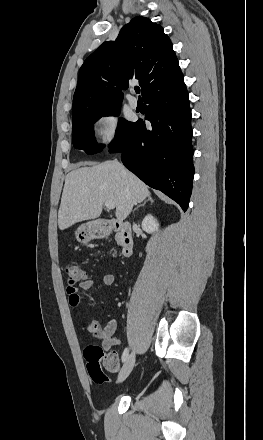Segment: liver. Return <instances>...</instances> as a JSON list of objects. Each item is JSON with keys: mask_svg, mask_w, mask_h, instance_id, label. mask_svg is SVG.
<instances>
[{"mask_svg": "<svg viewBox=\"0 0 263 440\" xmlns=\"http://www.w3.org/2000/svg\"><path fill=\"white\" fill-rule=\"evenodd\" d=\"M148 196L147 185L116 160L77 168L65 178L58 212L59 229L98 218L107 200L115 204V215L121 222L134 205Z\"/></svg>", "mask_w": 263, "mask_h": 440, "instance_id": "6515ba94", "label": "liver"}]
</instances>
